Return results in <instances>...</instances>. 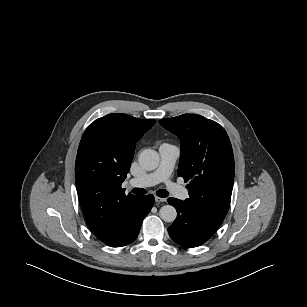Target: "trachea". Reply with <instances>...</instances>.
I'll return each instance as SVG.
<instances>
[{
  "label": "trachea",
  "mask_w": 307,
  "mask_h": 307,
  "mask_svg": "<svg viewBox=\"0 0 307 307\" xmlns=\"http://www.w3.org/2000/svg\"><path fill=\"white\" fill-rule=\"evenodd\" d=\"M132 193L134 194H146V190L143 189V188H133L132 189ZM157 196L159 197H162V198H165L169 195L168 191L167 190H163V189H160L156 192Z\"/></svg>",
  "instance_id": "obj_1"
}]
</instances>
